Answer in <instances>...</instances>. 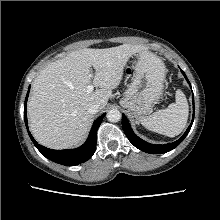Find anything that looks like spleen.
<instances>
[{"label": "spleen", "instance_id": "1", "mask_svg": "<svg viewBox=\"0 0 220 220\" xmlns=\"http://www.w3.org/2000/svg\"><path fill=\"white\" fill-rule=\"evenodd\" d=\"M176 102L148 117H140L139 122L148 130L168 137L179 135L188 120L189 107L185 94L178 89Z\"/></svg>", "mask_w": 220, "mask_h": 220}]
</instances>
